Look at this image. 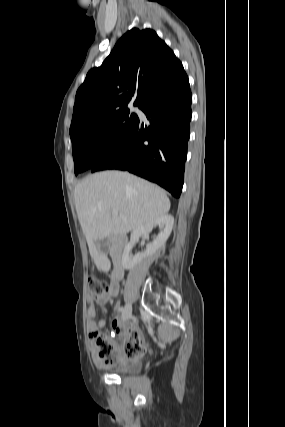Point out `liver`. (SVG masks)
<instances>
[{
	"label": "liver",
	"instance_id": "obj_1",
	"mask_svg": "<svg viewBox=\"0 0 285 427\" xmlns=\"http://www.w3.org/2000/svg\"><path fill=\"white\" fill-rule=\"evenodd\" d=\"M74 198L90 254L98 264L107 258L97 249V240L137 230L167 214L171 206L161 188L120 171L87 176L75 186ZM113 210L118 216H112Z\"/></svg>",
	"mask_w": 285,
	"mask_h": 427
}]
</instances>
